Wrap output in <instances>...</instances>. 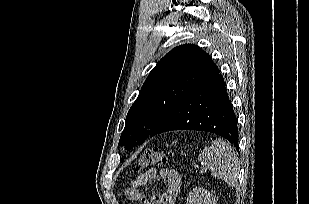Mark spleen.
<instances>
[{
  "mask_svg": "<svg viewBox=\"0 0 309 204\" xmlns=\"http://www.w3.org/2000/svg\"><path fill=\"white\" fill-rule=\"evenodd\" d=\"M199 162L207 167L212 175L235 186L239 176V160L230 144L220 138L212 141L198 156Z\"/></svg>",
  "mask_w": 309,
  "mask_h": 204,
  "instance_id": "spleen-1",
  "label": "spleen"
}]
</instances>
